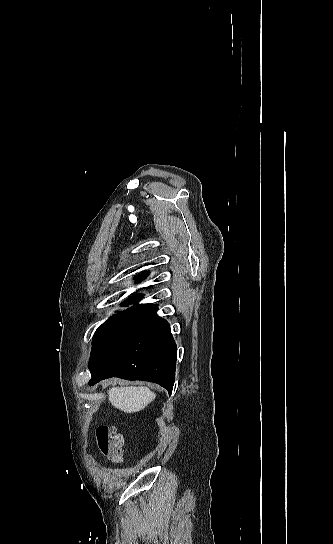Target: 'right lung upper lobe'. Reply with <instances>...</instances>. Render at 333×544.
Here are the masks:
<instances>
[{
	"instance_id": "obj_1",
	"label": "right lung upper lobe",
	"mask_w": 333,
	"mask_h": 544,
	"mask_svg": "<svg viewBox=\"0 0 333 544\" xmlns=\"http://www.w3.org/2000/svg\"><path fill=\"white\" fill-rule=\"evenodd\" d=\"M148 275H149L148 272H142L139 275L135 276V280H136V282H140L141 280H143ZM141 298H143L142 294H135V295L130 296L128 299H141Z\"/></svg>"
}]
</instances>
